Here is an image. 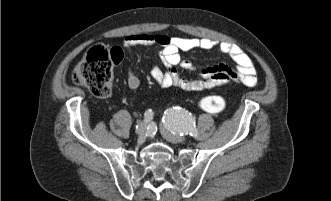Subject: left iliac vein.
<instances>
[{
	"label": "left iliac vein",
	"instance_id": "4c4485c4",
	"mask_svg": "<svg viewBox=\"0 0 331 201\" xmlns=\"http://www.w3.org/2000/svg\"><path fill=\"white\" fill-rule=\"evenodd\" d=\"M162 135L166 140L173 142V143H181V142H184L186 139L184 136H181L179 134H173L166 130L162 131Z\"/></svg>",
	"mask_w": 331,
	"mask_h": 201
}]
</instances>
